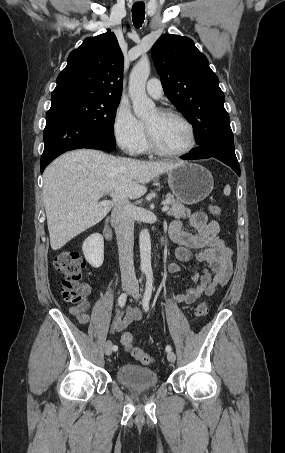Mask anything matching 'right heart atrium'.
<instances>
[{
  "mask_svg": "<svg viewBox=\"0 0 285 453\" xmlns=\"http://www.w3.org/2000/svg\"><path fill=\"white\" fill-rule=\"evenodd\" d=\"M112 131L117 144L128 154H137L145 138L144 125L127 105L121 104L114 115Z\"/></svg>",
  "mask_w": 285,
  "mask_h": 453,
  "instance_id": "1",
  "label": "right heart atrium"
}]
</instances>
